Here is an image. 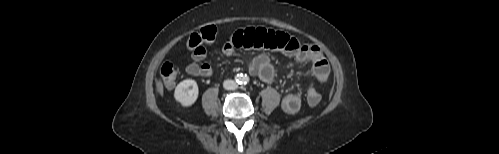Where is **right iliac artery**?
Returning <instances> with one entry per match:
<instances>
[{"label": "right iliac artery", "instance_id": "1", "mask_svg": "<svg viewBox=\"0 0 499 154\" xmlns=\"http://www.w3.org/2000/svg\"><path fill=\"white\" fill-rule=\"evenodd\" d=\"M235 80L239 84L242 83L243 75L242 74H237V76L235 77Z\"/></svg>", "mask_w": 499, "mask_h": 154}]
</instances>
